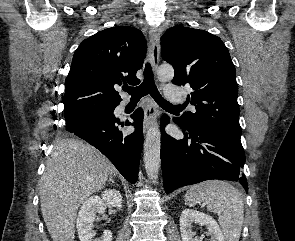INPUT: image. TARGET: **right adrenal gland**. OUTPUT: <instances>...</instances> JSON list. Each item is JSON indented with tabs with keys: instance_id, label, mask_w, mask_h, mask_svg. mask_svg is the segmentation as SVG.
<instances>
[{
	"instance_id": "1",
	"label": "right adrenal gland",
	"mask_w": 295,
	"mask_h": 241,
	"mask_svg": "<svg viewBox=\"0 0 295 241\" xmlns=\"http://www.w3.org/2000/svg\"><path fill=\"white\" fill-rule=\"evenodd\" d=\"M108 182H112V183H114L113 176H110V177H109V180H108Z\"/></svg>"
}]
</instances>
